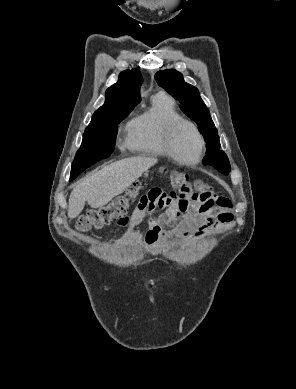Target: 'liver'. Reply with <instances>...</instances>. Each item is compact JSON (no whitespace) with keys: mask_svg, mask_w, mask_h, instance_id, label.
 I'll use <instances>...</instances> for the list:
<instances>
[{"mask_svg":"<svg viewBox=\"0 0 296 389\" xmlns=\"http://www.w3.org/2000/svg\"><path fill=\"white\" fill-rule=\"evenodd\" d=\"M155 157H131L111 163L80 182L71 192L68 217L76 218L87 202L101 208L122 194L145 171L157 163Z\"/></svg>","mask_w":296,"mask_h":389,"instance_id":"obj_1","label":"liver"}]
</instances>
